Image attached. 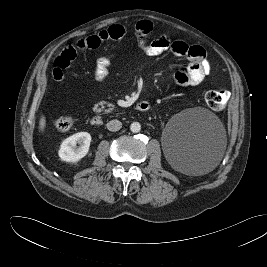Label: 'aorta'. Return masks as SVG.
I'll return each mask as SVG.
<instances>
[{"mask_svg":"<svg viewBox=\"0 0 267 267\" xmlns=\"http://www.w3.org/2000/svg\"><path fill=\"white\" fill-rule=\"evenodd\" d=\"M130 130H131L133 133H138V132H140V130H141V125H140V123H138V122H133V123L130 125Z\"/></svg>","mask_w":267,"mask_h":267,"instance_id":"762f6f07","label":"aorta"}]
</instances>
